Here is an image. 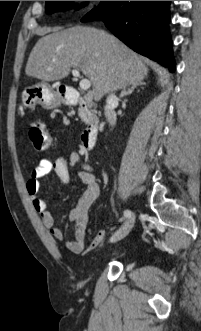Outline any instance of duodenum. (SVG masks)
<instances>
[{"label":"duodenum","mask_w":201,"mask_h":331,"mask_svg":"<svg viewBox=\"0 0 201 331\" xmlns=\"http://www.w3.org/2000/svg\"><path fill=\"white\" fill-rule=\"evenodd\" d=\"M59 97L64 100L66 103L71 105H77L83 111H87L89 108V102L86 98L82 97L79 92L72 87L61 86L58 88ZM98 135V128L95 122H90L81 136V145L86 150H93Z\"/></svg>","instance_id":"410a0bca"}]
</instances>
